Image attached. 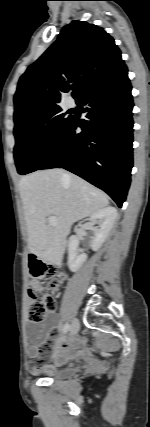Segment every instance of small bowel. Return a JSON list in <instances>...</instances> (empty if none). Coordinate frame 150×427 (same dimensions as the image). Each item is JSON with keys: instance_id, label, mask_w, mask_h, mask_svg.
<instances>
[{"instance_id": "obj_1", "label": "small bowel", "mask_w": 150, "mask_h": 427, "mask_svg": "<svg viewBox=\"0 0 150 427\" xmlns=\"http://www.w3.org/2000/svg\"><path fill=\"white\" fill-rule=\"evenodd\" d=\"M56 318L49 315L41 324L34 325L30 329V337L36 342L28 347L27 354L30 358L29 369L32 373H37L47 363L50 351L55 348L68 346L65 342L57 343L59 333L55 329ZM79 343L73 341L71 347L77 348ZM50 368V367H49ZM45 368V370H49Z\"/></svg>"}]
</instances>
